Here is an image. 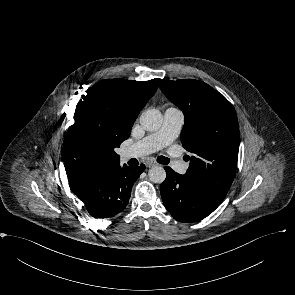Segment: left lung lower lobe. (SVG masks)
Masks as SVG:
<instances>
[{
    "label": "left lung lower lobe",
    "mask_w": 295,
    "mask_h": 295,
    "mask_svg": "<svg viewBox=\"0 0 295 295\" xmlns=\"http://www.w3.org/2000/svg\"><path fill=\"white\" fill-rule=\"evenodd\" d=\"M166 179L160 187L163 203L174 219L196 222L210 215L220 204L194 185L185 175L165 167Z\"/></svg>",
    "instance_id": "1"
}]
</instances>
